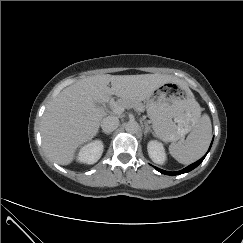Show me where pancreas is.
I'll use <instances>...</instances> for the list:
<instances>
[{
    "label": "pancreas",
    "instance_id": "obj_1",
    "mask_svg": "<svg viewBox=\"0 0 243 243\" xmlns=\"http://www.w3.org/2000/svg\"><path fill=\"white\" fill-rule=\"evenodd\" d=\"M115 105H120V106H123L124 108H135L137 110H142L143 109V106L138 103V102H133L131 100H125V99H119L118 101H116L113 105H112V108L115 106Z\"/></svg>",
    "mask_w": 243,
    "mask_h": 243
}]
</instances>
